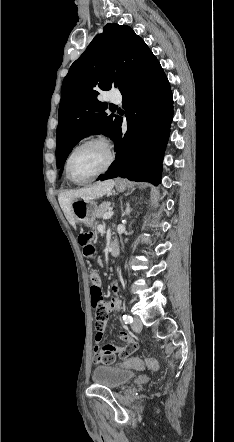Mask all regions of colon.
Returning <instances> with one entry per match:
<instances>
[{"instance_id":"5ec220e1","label":"colon","mask_w":234,"mask_h":442,"mask_svg":"<svg viewBox=\"0 0 234 442\" xmlns=\"http://www.w3.org/2000/svg\"><path fill=\"white\" fill-rule=\"evenodd\" d=\"M92 234L91 233H81L78 236V242L83 247V253L84 256L89 259L93 260L96 256V248L91 243ZM100 280L99 274L97 271H92L90 273V281H91V304L95 312V316L97 314H107L108 306L105 302L103 293L101 288L97 285ZM96 329V328H95ZM127 342V341H126ZM124 348L121 347V349ZM148 368L151 370H157L158 369V358L157 357H143L141 360L138 357L130 356L128 359L122 364L123 370H136V369H143Z\"/></svg>"}]
</instances>
